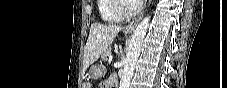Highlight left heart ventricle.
Returning <instances> with one entry per match:
<instances>
[{
	"instance_id": "b2bd125f",
	"label": "left heart ventricle",
	"mask_w": 227,
	"mask_h": 88,
	"mask_svg": "<svg viewBox=\"0 0 227 88\" xmlns=\"http://www.w3.org/2000/svg\"><path fill=\"white\" fill-rule=\"evenodd\" d=\"M134 7H135V5L132 2L125 3V8H126L127 11L133 10Z\"/></svg>"
}]
</instances>
